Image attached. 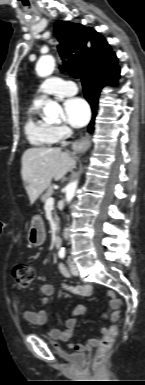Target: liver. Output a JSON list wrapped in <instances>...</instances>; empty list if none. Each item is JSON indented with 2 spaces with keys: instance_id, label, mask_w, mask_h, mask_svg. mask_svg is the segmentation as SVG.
<instances>
[{
  "instance_id": "6515ba94",
  "label": "liver",
  "mask_w": 145,
  "mask_h": 385,
  "mask_svg": "<svg viewBox=\"0 0 145 385\" xmlns=\"http://www.w3.org/2000/svg\"><path fill=\"white\" fill-rule=\"evenodd\" d=\"M75 166V159L60 148L26 150L22 156L21 175L30 203L33 204L50 186L52 179L61 180Z\"/></svg>"
}]
</instances>
